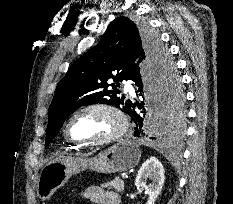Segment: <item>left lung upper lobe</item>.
<instances>
[{"label":"left lung upper lobe","instance_id":"obj_1","mask_svg":"<svg viewBox=\"0 0 233 204\" xmlns=\"http://www.w3.org/2000/svg\"><path fill=\"white\" fill-rule=\"evenodd\" d=\"M138 58L139 62L147 58L158 78L165 121L181 129L183 95L167 49L146 26L123 16L108 25L100 42L76 60L58 83L48 110L45 145L51 143L64 121L80 106L111 104L126 113L132 102L116 94L120 93L119 82L130 79ZM109 80L115 84H109Z\"/></svg>","mask_w":233,"mask_h":204}]
</instances>
